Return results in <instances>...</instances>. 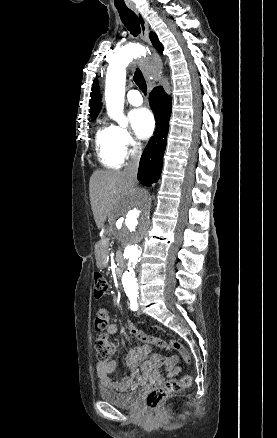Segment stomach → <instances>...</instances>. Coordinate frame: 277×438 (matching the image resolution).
Masks as SVG:
<instances>
[{
  "mask_svg": "<svg viewBox=\"0 0 277 438\" xmlns=\"http://www.w3.org/2000/svg\"><path fill=\"white\" fill-rule=\"evenodd\" d=\"M98 266H99V267H103L102 258H100V257H99V259H98Z\"/></svg>",
  "mask_w": 277,
  "mask_h": 438,
  "instance_id": "0dacf381",
  "label": "stomach"
}]
</instances>
